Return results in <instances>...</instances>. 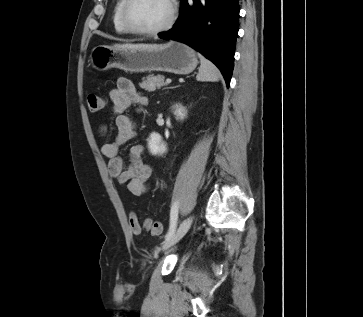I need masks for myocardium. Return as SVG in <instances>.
<instances>
[{"mask_svg":"<svg viewBox=\"0 0 363 317\" xmlns=\"http://www.w3.org/2000/svg\"><path fill=\"white\" fill-rule=\"evenodd\" d=\"M134 2L135 0H125L121 10L122 23L129 33L139 36H157L168 31L173 26L178 12V5L176 0H168L170 6V13L166 22L160 27L152 30L139 29L132 24L129 13Z\"/></svg>","mask_w":363,"mask_h":317,"instance_id":"f54148a6","label":"myocardium"}]
</instances>
